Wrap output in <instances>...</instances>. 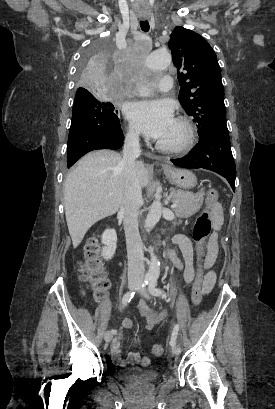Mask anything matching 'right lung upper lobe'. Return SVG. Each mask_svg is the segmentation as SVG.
Here are the masks:
<instances>
[{"label":"right lung upper lobe","mask_w":275,"mask_h":409,"mask_svg":"<svg viewBox=\"0 0 275 409\" xmlns=\"http://www.w3.org/2000/svg\"><path fill=\"white\" fill-rule=\"evenodd\" d=\"M85 91H87V90H77V92H85Z\"/></svg>","instance_id":"cb5924a9"}]
</instances>
